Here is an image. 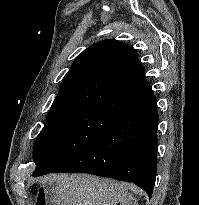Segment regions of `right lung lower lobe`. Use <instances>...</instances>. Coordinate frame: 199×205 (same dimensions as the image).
<instances>
[{"mask_svg": "<svg viewBox=\"0 0 199 205\" xmlns=\"http://www.w3.org/2000/svg\"><path fill=\"white\" fill-rule=\"evenodd\" d=\"M129 88L143 98V105L50 173H89L133 182L151 198L157 174L156 98L148 82Z\"/></svg>", "mask_w": 199, "mask_h": 205, "instance_id": "right-lung-lower-lobe-1", "label": "right lung lower lobe"}]
</instances>
